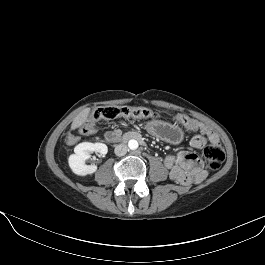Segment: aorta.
<instances>
[{
    "mask_svg": "<svg viewBox=\"0 0 265 265\" xmlns=\"http://www.w3.org/2000/svg\"><path fill=\"white\" fill-rule=\"evenodd\" d=\"M138 142L134 139L129 140L128 147L130 150H136L138 148Z\"/></svg>",
    "mask_w": 265,
    "mask_h": 265,
    "instance_id": "1",
    "label": "aorta"
}]
</instances>
